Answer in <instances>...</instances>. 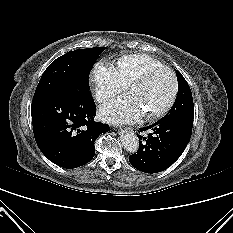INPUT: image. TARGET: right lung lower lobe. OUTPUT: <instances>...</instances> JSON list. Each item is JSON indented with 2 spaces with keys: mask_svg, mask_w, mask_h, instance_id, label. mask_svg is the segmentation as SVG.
<instances>
[{
  "mask_svg": "<svg viewBox=\"0 0 233 233\" xmlns=\"http://www.w3.org/2000/svg\"><path fill=\"white\" fill-rule=\"evenodd\" d=\"M33 132L42 153L63 168H76L95 154L94 142L109 125L94 121L91 92L72 90L33 100Z\"/></svg>",
  "mask_w": 233,
  "mask_h": 233,
  "instance_id": "1",
  "label": "right lung lower lobe"
}]
</instances>
